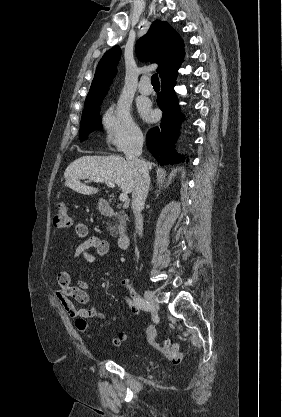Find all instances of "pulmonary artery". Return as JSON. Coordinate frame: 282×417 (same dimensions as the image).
Wrapping results in <instances>:
<instances>
[{
  "label": "pulmonary artery",
  "instance_id": "obj_1",
  "mask_svg": "<svg viewBox=\"0 0 282 417\" xmlns=\"http://www.w3.org/2000/svg\"><path fill=\"white\" fill-rule=\"evenodd\" d=\"M147 82H149V78L145 76L141 79V82L139 83L138 90L142 95H149L152 93V87L144 85Z\"/></svg>",
  "mask_w": 282,
  "mask_h": 417
}]
</instances>
